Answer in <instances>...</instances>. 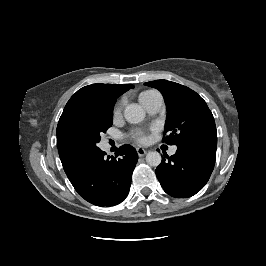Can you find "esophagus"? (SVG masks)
<instances>
[{"label":"esophagus","instance_id":"1","mask_svg":"<svg viewBox=\"0 0 266 266\" xmlns=\"http://www.w3.org/2000/svg\"><path fill=\"white\" fill-rule=\"evenodd\" d=\"M136 151L139 157H143L147 153V150L142 147L136 148Z\"/></svg>","mask_w":266,"mask_h":266}]
</instances>
